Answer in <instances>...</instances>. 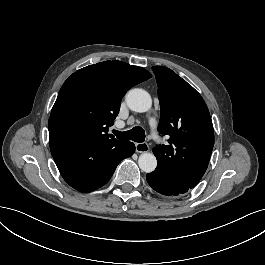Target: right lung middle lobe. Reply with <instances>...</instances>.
Here are the masks:
<instances>
[{"mask_svg": "<svg viewBox=\"0 0 265 265\" xmlns=\"http://www.w3.org/2000/svg\"><path fill=\"white\" fill-rule=\"evenodd\" d=\"M74 121L70 116H62L56 121V128L62 132H67L72 127Z\"/></svg>", "mask_w": 265, "mask_h": 265, "instance_id": "right-lung-middle-lobe-1", "label": "right lung middle lobe"}]
</instances>
